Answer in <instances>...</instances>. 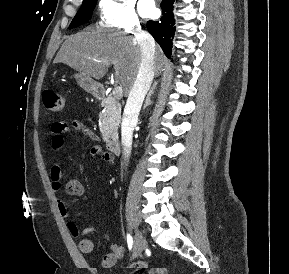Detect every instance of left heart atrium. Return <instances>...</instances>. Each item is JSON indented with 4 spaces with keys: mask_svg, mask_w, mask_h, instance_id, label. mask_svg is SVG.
<instances>
[{
    "mask_svg": "<svg viewBox=\"0 0 289 274\" xmlns=\"http://www.w3.org/2000/svg\"><path fill=\"white\" fill-rule=\"evenodd\" d=\"M139 11L144 17L154 16L157 11L154 0H140Z\"/></svg>",
    "mask_w": 289,
    "mask_h": 274,
    "instance_id": "left-heart-atrium-1",
    "label": "left heart atrium"
}]
</instances>
